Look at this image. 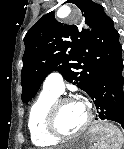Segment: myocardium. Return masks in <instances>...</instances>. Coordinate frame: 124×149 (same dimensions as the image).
Segmentation results:
<instances>
[{
  "label": "myocardium",
  "mask_w": 124,
  "mask_h": 149,
  "mask_svg": "<svg viewBox=\"0 0 124 149\" xmlns=\"http://www.w3.org/2000/svg\"><path fill=\"white\" fill-rule=\"evenodd\" d=\"M76 100L73 97H60L57 98L49 107L46 115V129L48 133L58 139V140H69L75 138L88 130L90 125L92 124L93 120V109L89 103H85L88 114L85 123L81 128L72 132V133H65L61 131L58 127V113L59 109L62 105L67 102H71Z\"/></svg>",
  "instance_id": "f54148a6"
}]
</instances>
